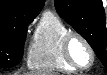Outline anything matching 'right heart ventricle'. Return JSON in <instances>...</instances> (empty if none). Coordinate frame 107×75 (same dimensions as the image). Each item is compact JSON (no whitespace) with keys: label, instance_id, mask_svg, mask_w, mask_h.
Here are the masks:
<instances>
[{"label":"right heart ventricle","instance_id":"right-heart-ventricle-1","mask_svg":"<svg viewBox=\"0 0 107 75\" xmlns=\"http://www.w3.org/2000/svg\"><path fill=\"white\" fill-rule=\"evenodd\" d=\"M70 32L54 13L46 12L40 19L27 56V66L36 71L73 72L62 54V40Z\"/></svg>","mask_w":107,"mask_h":75}]
</instances>
